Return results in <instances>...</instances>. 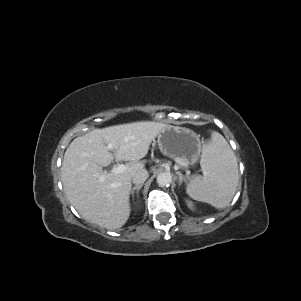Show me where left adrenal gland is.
Listing matches in <instances>:
<instances>
[{"label":"left adrenal gland","instance_id":"a2214340","mask_svg":"<svg viewBox=\"0 0 301 301\" xmlns=\"http://www.w3.org/2000/svg\"><path fill=\"white\" fill-rule=\"evenodd\" d=\"M176 174L179 176V185H181L183 181L186 182V179L181 172L177 171Z\"/></svg>","mask_w":301,"mask_h":301}]
</instances>
